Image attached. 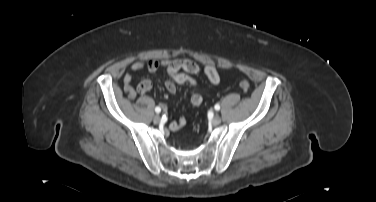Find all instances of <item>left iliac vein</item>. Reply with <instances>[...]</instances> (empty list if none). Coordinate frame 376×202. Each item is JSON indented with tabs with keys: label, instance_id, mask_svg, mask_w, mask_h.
<instances>
[{
	"label": "left iliac vein",
	"instance_id": "1",
	"mask_svg": "<svg viewBox=\"0 0 376 202\" xmlns=\"http://www.w3.org/2000/svg\"><path fill=\"white\" fill-rule=\"evenodd\" d=\"M221 123V117L219 115H215L213 118H212V124L213 125H219Z\"/></svg>",
	"mask_w": 376,
	"mask_h": 202
}]
</instances>
